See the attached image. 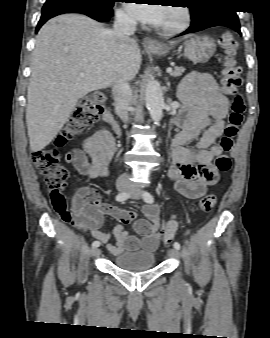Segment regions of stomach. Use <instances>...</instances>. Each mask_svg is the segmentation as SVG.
Instances as JSON below:
<instances>
[{
	"instance_id": "0dacf381",
	"label": "stomach",
	"mask_w": 270,
	"mask_h": 338,
	"mask_svg": "<svg viewBox=\"0 0 270 338\" xmlns=\"http://www.w3.org/2000/svg\"><path fill=\"white\" fill-rule=\"evenodd\" d=\"M172 45H160L155 49H147L148 52L158 56L167 55ZM215 52L214 41L207 36L195 35L185 42L184 55L194 63H206Z\"/></svg>"
}]
</instances>
